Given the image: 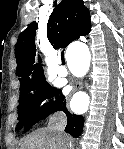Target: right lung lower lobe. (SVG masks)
Listing matches in <instances>:
<instances>
[{
  "label": "right lung lower lobe",
  "mask_w": 124,
  "mask_h": 149,
  "mask_svg": "<svg viewBox=\"0 0 124 149\" xmlns=\"http://www.w3.org/2000/svg\"><path fill=\"white\" fill-rule=\"evenodd\" d=\"M54 94L56 95L55 102L50 104L44 112L31 116L24 125V131H28L37 121L47 117L49 114L56 111H63L66 114L68 120L65 132L69 133L75 138L79 137L83 130V117L76 114H71L67 110L65 97L61 94L60 90H55Z\"/></svg>",
  "instance_id": "right-lung-lower-lobe-1"
}]
</instances>
